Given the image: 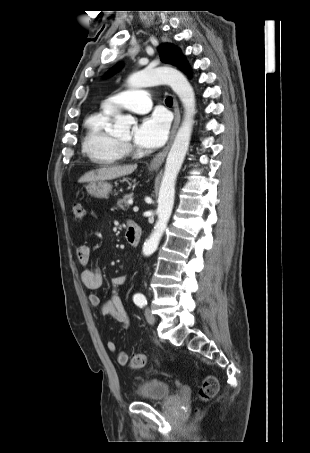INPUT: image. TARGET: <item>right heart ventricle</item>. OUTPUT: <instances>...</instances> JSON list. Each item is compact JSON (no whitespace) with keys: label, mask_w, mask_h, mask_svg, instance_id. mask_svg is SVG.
<instances>
[{"label":"right heart ventricle","mask_w":310,"mask_h":453,"mask_svg":"<svg viewBox=\"0 0 310 453\" xmlns=\"http://www.w3.org/2000/svg\"><path fill=\"white\" fill-rule=\"evenodd\" d=\"M110 123L111 112L104 107L85 120L82 152L94 164L115 165L122 162L126 156L125 147L108 131Z\"/></svg>","instance_id":"e07e8e85"}]
</instances>
